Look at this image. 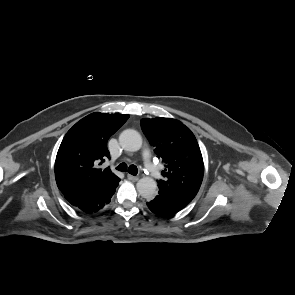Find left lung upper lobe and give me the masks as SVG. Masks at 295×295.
<instances>
[{
	"mask_svg": "<svg viewBox=\"0 0 295 295\" xmlns=\"http://www.w3.org/2000/svg\"><path fill=\"white\" fill-rule=\"evenodd\" d=\"M141 127L165 163L159 189L193 199L203 180L204 164L192 131L178 120L160 117L142 119Z\"/></svg>",
	"mask_w": 295,
	"mask_h": 295,
	"instance_id": "left-lung-upper-lobe-1",
	"label": "left lung upper lobe"
}]
</instances>
